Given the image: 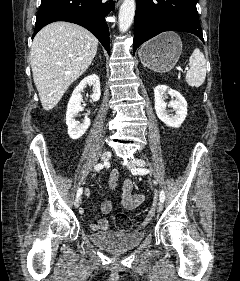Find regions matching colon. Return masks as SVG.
Instances as JSON below:
<instances>
[{"label":"colon","instance_id":"1","mask_svg":"<svg viewBox=\"0 0 240 281\" xmlns=\"http://www.w3.org/2000/svg\"><path fill=\"white\" fill-rule=\"evenodd\" d=\"M115 226L121 231H130L133 229L132 220L123 213L115 215Z\"/></svg>","mask_w":240,"mask_h":281}]
</instances>
